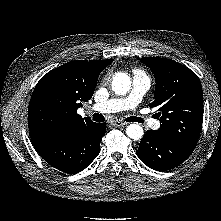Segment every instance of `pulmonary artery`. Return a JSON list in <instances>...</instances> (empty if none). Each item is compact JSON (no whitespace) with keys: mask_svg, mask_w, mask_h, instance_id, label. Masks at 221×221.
<instances>
[{"mask_svg":"<svg viewBox=\"0 0 221 221\" xmlns=\"http://www.w3.org/2000/svg\"><path fill=\"white\" fill-rule=\"evenodd\" d=\"M150 78L140 72H137L133 77V88L131 93L125 98L109 99L100 103H96L92 106V109L100 113H112L124 110H134L142 101L144 95L150 89ZM142 122L148 126L158 129L160 122L152 118H147L142 115H137Z\"/></svg>","mask_w":221,"mask_h":221,"instance_id":"obj_1","label":"pulmonary artery"}]
</instances>
